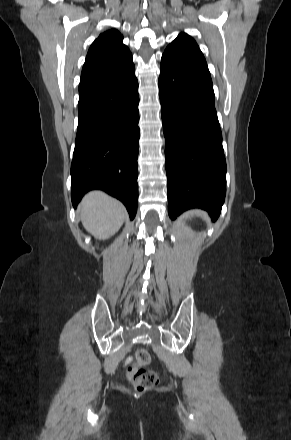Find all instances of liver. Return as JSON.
Masks as SVG:
<instances>
[{
	"instance_id": "6515ba94",
	"label": "liver",
	"mask_w": 291,
	"mask_h": 440,
	"mask_svg": "<svg viewBox=\"0 0 291 440\" xmlns=\"http://www.w3.org/2000/svg\"><path fill=\"white\" fill-rule=\"evenodd\" d=\"M126 216L122 203L101 191L88 193L80 204L84 228L99 240L109 239L118 232Z\"/></svg>"
}]
</instances>
